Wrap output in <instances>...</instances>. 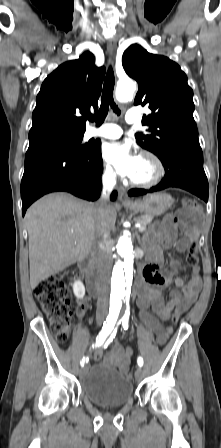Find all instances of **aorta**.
I'll return each mask as SVG.
<instances>
[{
  "label": "aorta",
  "mask_w": 221,
  "mask_h": 448,
  "mask_svg": "<svg viewBox=\"0 0 221 448\" xmlns=\"http://www.w3.org/2000/svg\"><path fill=\"white\" fill-rule=\"evenodd\" d=\"M135 91L136 85L133 81L121 82L116 88V98L120 102H127L133 98ZM116 248L121 258L117 260L112 273L111 302L112 312L118 315L133 276L134 246L128 234L119 237Z\"/></svg>",
  "instance_id": "762f6f07"
}]
</instances>
